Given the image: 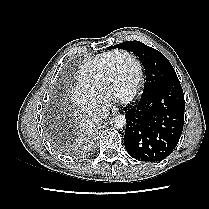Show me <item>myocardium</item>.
I'll return each mask as SVG.
<instances>
[{
    "label": "myocardium",
    "mask_w": 209,
    "mask_h": 209,
    "mask_svg": "<svg viewBox=\"0 0 209 209\" xmlns=\"http://www.w3.org/2000/svg\"><path fill=\"white\" fill-rule=\"evenodd\" d=\"M119 56H127V57L131 58L135 64L136 70H137L136 82L134 84V87H133L131 93L126 98L117 100L118 102H121V103H129L137 97V95L140 91L141 85H142V81H143V71H142L141 63L138 60V58L136 57V55L130 51L115 50V53L113 54L112 58L109 60L107 66L105 68V71H104L103 81H102V93H103V95L108 97V87H109V83H110V79H111V74L113 71L114 61Z\"/></svg>",
    "instance_id": "1"
}]
</instances>
